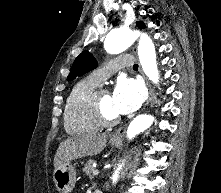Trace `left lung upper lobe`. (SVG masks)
Listing matches in <instances>:
<instances>
[{
  "instance_id": "left-lung-upper-lobe-1",
  "label": "left lung upper lobe",
  "mask_w": 221,
  "mask_h": 193,
  "mask_svg": "<svg viewBox=\"0 0 221 193\" xmlns=\"http://www.w3.org/2000/svg\"><path fill=\"white\" fill-rule=\"evenodd\" d=\"M139 28H144L145 25L140 21L137 22ZM97 67V62L93 56L88 51H83L74 61L68 80H73L77 76H82L83 74L95 69Z\"/></svg>"
}]
</instances>
